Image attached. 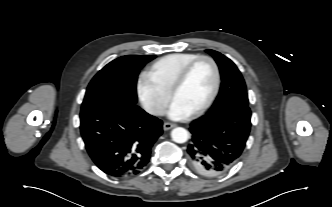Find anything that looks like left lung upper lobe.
Here are the masks:
<instances>
[{
	"instance_id": "1",
	"label": "left lung upper lobe",
	"mask_w": 332,
	"mask_h": 207,
	"mask_svg": "<svg viewBox=\"0 0 332 207\" xmlns=\"http://www.w3.org/2000/svg\"><path fill=\"white\" fill-rule=\"evenodd\" d=\"M206 51L217 62L222 79L219 94L209 112L229 105H248L246 85L236 65L217 51Z\"/></svg>"
}]
</instances>
